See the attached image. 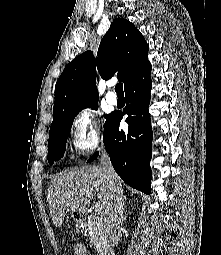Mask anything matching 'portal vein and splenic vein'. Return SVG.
<instances>
[{
  "mask_svg": "<svg viewBox=\"0 0 221 255\" xmlns=\"http://www.w3.org/2000/svg\"><path fill=\"white\" fill-rule=\"evenodd\" d=\"M102 209V206H101V204L100 203H96L95 204V211H100Z\"/></svg>",
  "mask_w": 221,
  "mask_h": 255,
  "instance_id": "18ae733b",
  "label": "portal vein and splenic vein"
}]
</instances>
